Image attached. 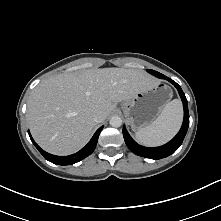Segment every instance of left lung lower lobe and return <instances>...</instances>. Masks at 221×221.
Here are the masks:
<instances>
[{
    "label": "left lung lower lobe",
    "mask_w": 221,
    "mask_h": 221,
    "mask_svg": "<svg viewBox=\"0 0 221 221\" xmlns=\"http://www.w3.org/2000/svg\"><path fill=\"white\" fill-rule=\"evenodd\" d=\"M160 78L168 80L177 88L179 95L181 97V100L183 102L184 119H183L182 127L180 131L178 132V134L170 142H168L167 144L163 146L148 148V147H144V146L137 144L131 138L125 126L123 127V136H124V140L126 142L127 147L136 155H139L145 158L155 159V160L166 158L170 156L171 154H173L182 144L184 137L187 133L188 126H189L188 103L181 87L176 82H174L170 78H167L164 75H161Z\"/></svg>",
    "instance_id": "left-lung-lower-lobe-1"
}]
</instances>
